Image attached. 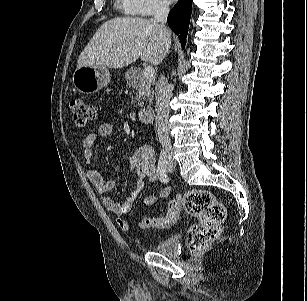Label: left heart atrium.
<instances>
[{"instance_id":"obj_1","label":"left heart atrium","mask_w":307,"mask_h":301,"mask_svg":"<svg viewBox=\"0 0 307 301\" xmlns=\"http://www.w3.org/2000/svg\"><path fill=\"white\" fill-rule=\"evenodd\" d=\"M168 2H173V1H175V0H167Z\"/></svg>"}]
</instances>
